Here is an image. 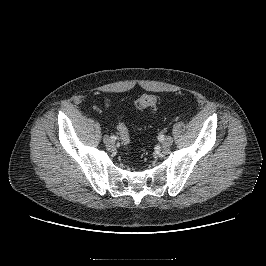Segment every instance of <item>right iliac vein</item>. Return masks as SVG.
<instances>
[{
	"label": "right iliac vein",
	"instance_id": "63e3f726",
	"mask_svg": "<svg viewBox=\"0 0 266 266\" xmlns=\"http://www.w3.org/2000/svg\"><path fill=\"white\" fill-rule=\"evenodd\" d=\"M104 143L106 144V146L108 147H113L114 146V140H112L110 137L105 136L103 139Z\"/></svg>",
	"mask_w": 266,
	"mask_h": 266
}]
</instances>
